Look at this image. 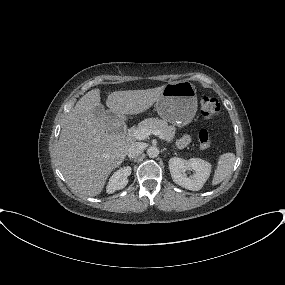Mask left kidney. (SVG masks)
Wrapping results in <instances>:
<instances>
[{
  "label": "left kidney",
  "instance_id": "left-kidney-1",
  "mask_svg": "<svg viewBox=\"0 0 285 285\" xmlns=\"http://www.w3.org/2000/svg\"><path fill=\"white\" fill-rule=\"evenodd\" d=\"M169 170L173 181L183 188L192 191L200 190L211 173V164L200 158L185 160L173 157L169 160ZM186 170H193L192 176L185 174Z\"/></svg>",
  "mask_w": 285,
  "mask_h": 285
}]
</instances>
